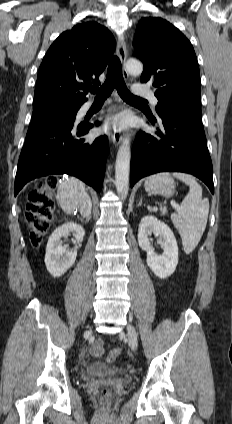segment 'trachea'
Wrapping results in <instances>:
<instances>
[{
	"label": "trachea",
	"instance_id": "3493384b",
	"mask_svg": "<svg viewBox=\"0 0 232 424\" xmlns=\"http://www.w3.org/2000/svg\"><path fill=\"white\" fill-rule=\"evenodd\" d=\"M114 88H116L121 98L125 101L132 103H147L146 100L134 96L127 89V86L122 76L121 63L117 56L112 57L109 63L107 76L104 84L99 89L91 87L89 88V91L91 93L97 94L96 99L105 100L111 94Z\"/></svg>",
	"mask_w": 232,
	"mask_h": 424
}]
</instances>
